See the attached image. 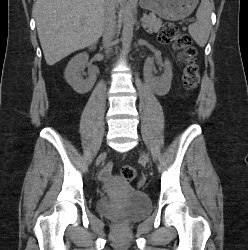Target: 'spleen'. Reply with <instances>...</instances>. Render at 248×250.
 Here are the masks:
<instances>
[{"label":"spleen","instance_id":"1","mask_svg":"<svg viewBox=\"0 0 248 250\" xmlns=\"http://www.w3.org/2000/svg\"><path fill=\"white\" fill-rule=\"evenodd\" d=\"M211 10L212 5L209 0H201L196 12L197 21L188 27L189 34L200 47H204L209 38Z\"/></svg>","mask_w":248,"mask_h":250}]
</instances>
